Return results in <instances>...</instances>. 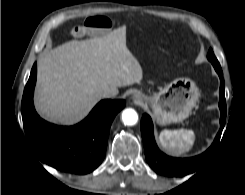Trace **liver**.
I'll list each match as a JSON object with an SVG mask.
<instances>
[{
    "mask_svg": "<svg viewBox=\"0 0 245 195\" xmlns=\"http://www.w3.org/2000/svg\"><path fill=\"white\" fill-rule=\"evenodd\" d=\"M35 106L48 121L72 125L83 119L101 93L139 83L143 71L126 46V26L102 37L69 41L38 59Z\"/></svg>",
    "mask_w": 245,
    "mask_h": 195,
    "instance_id": "6515ba94",
    "label": "liver"
}]
</instances>
